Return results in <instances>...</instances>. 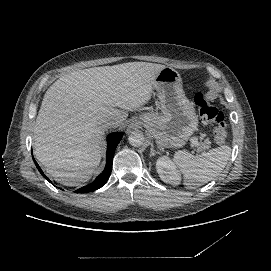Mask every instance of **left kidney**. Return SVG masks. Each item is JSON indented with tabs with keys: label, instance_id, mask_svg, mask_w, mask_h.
Here are the masks:
<instances>
[{
	"label": "left kidney",
	"instance_id": "left-kidney-1",
	"mask_svg": "<svg viewBox=\"0 0 271 271\" xmlns=\"http://www.w3.org/2000/svg\"><path fill=\"white\" fill-rule=\"evenodd\" d=\"M156 169L163 182L174 185L179 184L180 175L176 170L175 164L167 156L158 158Z\"/></svg>",
	"mask_w": 271,
	"mask_h": 271
}]
</instances>
